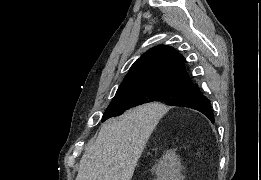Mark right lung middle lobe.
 <instances>
[{"instance_id": "dd1d6c3e", "label": "right lung middle lobe", "mask_w": 261, "mask_h": 180, "mask_svg": "<svg viewBox=\"0 0 261 180\" xmlns=\"http://www.w3.org/2000/svg\"><path fill=\"white\" fill-rule=\"evenodd\" d=\"M200 93L190 81H162L118 89L102 121L121 115L127 109L144 103L162 101L171 105L182 98Z\"/></svg>"}]
</instances>
